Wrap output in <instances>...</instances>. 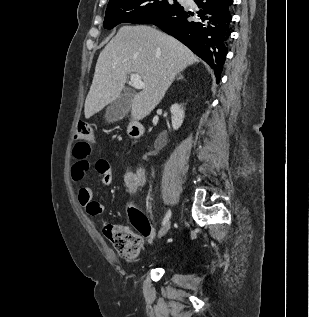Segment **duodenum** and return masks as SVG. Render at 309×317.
<instances>
[{
  "label": "duodenum",
  "mask_w": 309,
  "mask_h": 317,
  "mask_svg": "<svg viewBox=\"0 0 309 317\" xmlns=\"http://www.w3.org/2000/svg\"><path fill=\"white\" fill-rule=\"evenodd\" d=\"M128 134L133 141L138 140L144 133L143 125L136 119H132L128 125Z\"/></svg>",
  "instance_id": "410a0bca"
}]
</instances>
